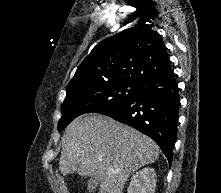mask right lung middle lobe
<instances>
[{"instance_id": "right-lung-middle-lobe-1", "label": "right lung middle lobe", "mask_w": 221, "mask_h": 193, "mask_svg": "<svg viewBox=\"0 0 221 193\" xmlns=\"http://www.w3.org/2000/svg\"><path fill=\"white\" fill-rule=\"evenodd\" d=\"M141 85L142 83L139 82H115L66 89V98L61 106L62 117L58 122V131L63 130L80 115L99 113L119 106L137 95Z\"/></svg>"}]
</instances>
